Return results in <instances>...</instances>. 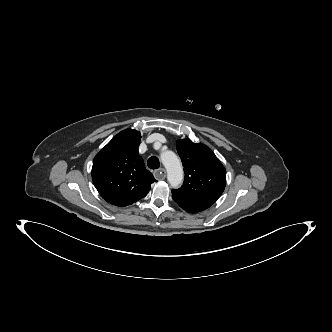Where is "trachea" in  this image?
Returning a JSON list of instances; mask_svg holds the SVG:
<instances>
[{
    "mask_svg": "<svg viewBox=\"0 0 332 332\" xmlns=\"http://www.w3.org/2000/svg\"><path fill=\"white\" fill-rule=\"evenodd\" d=\"M147 165L150 169H158L160 166L159 159L156 156H151L147 161Z\"/></svg>",
    "mask_w": 332,
    "mask_h": 332,
    "instance_id": "1",
    "label": "trachea"
}]
</instances>
